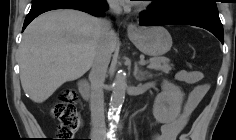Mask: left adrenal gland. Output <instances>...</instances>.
<instances>
[{
	"label": "left adrenal gland",
	"mask_w": 236,
	"mask_h": 140,
	"mask_svg": "<svg viewBox=\"0 0 236 140\" xmlns=\"http://www.w3.org/2000/svg\"><path fill=\"white\" fill-rule=\"evenodd\" d=\"M133 75L136 80L143 81L149 77L150 73L148 71H143L142 69H139L138 64L135 63Z\"/></svg>",
	"instance_id": "a2214340"
}]
</instances>
